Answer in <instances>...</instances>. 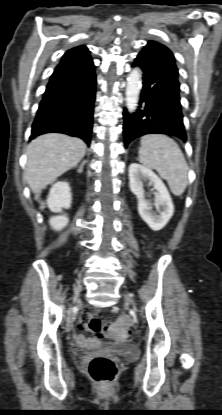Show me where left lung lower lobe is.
<instances>
[{
    "instance_id": "0a47b994",
    "label": "left lung lower lobe",
    "mask_w": 222,
    "mask_h": 415,
    "mask_svg": "<svg viewBox=\"0 0 222 415\" xmlns=\"http://www.w3.org/2000/svg\"><path fill=\"white\" fill-rule=\"evenodd\" d=\"M133 66L143 72L139 107L124 110V145L146 134H166L187 140L180 104V84L174 56L164 45L149 41Z\"/></svg>"
}]
</instances>
